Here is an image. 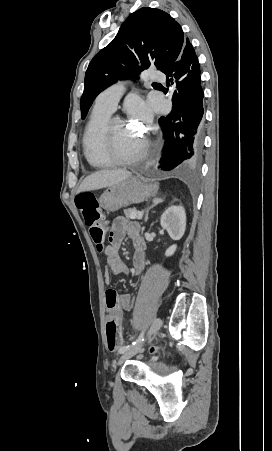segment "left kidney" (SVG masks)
<instances>
[{"instance_id":"obj_1","label":"left kidney","mask_w":272,"mask_h":451,"mask_svg":"<svg viewBox=\"0 0 272 451\" xmlns=\"http://www.w3.org/2000/svg\"><path fill=\"white\" fill-rule=\"evenodd\" d=\"M161 226L168 231L172 239H181L186 229V214L182 206H171L161 216ZM176 243L167 247L165 255H173L176 251Z\"/></svg>"}]
</instances>
